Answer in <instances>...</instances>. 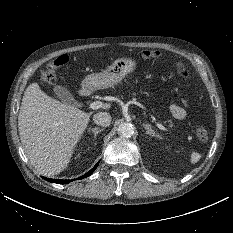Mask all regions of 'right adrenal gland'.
<instances>
[{
    "label": "right adrenal gland",
    "instance_id": "2a0ac1e0",
    "mask_svg": "<svg viewBox=\"0 0 233 233\" xmlns=\"http://www.w3.org/2000/svg\"><path fill=\"white\" fill-rule=\"evenodd\" d=\"M103 129L100 128H89V132H93L94 133V138H96L97 134L100 133Z\"/></svg>",
    "mask_w": 233,
    "mask_h": 233
}]
</instances>
